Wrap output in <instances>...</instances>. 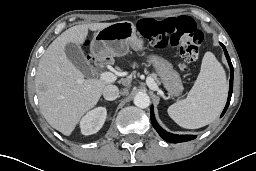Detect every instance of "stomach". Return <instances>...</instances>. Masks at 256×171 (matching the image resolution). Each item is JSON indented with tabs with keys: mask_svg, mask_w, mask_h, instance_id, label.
Instances as JSON below:
<instances>
[{
	"mask_svg": "<svg viewBox=\"0 0 256 171\" xmlns=\"http://www.w3.org/2000/svg\"><path fill=\"white\" fill-rule=\"evenodd\" d=\"M132 48L141 52L147 62L153 66L168 95L178 97L183 91L179 73L164 57L157 54H146L144 41L136 34V26L130 21L112 23L100 29L93 41V54L103 59L108 56H123Z\"/></svg>",
	"mask_w": 256,
	"mask_h": 171,
	"instance_id": "0dacf381",
	"label": "stomach"
}]
</instances>
